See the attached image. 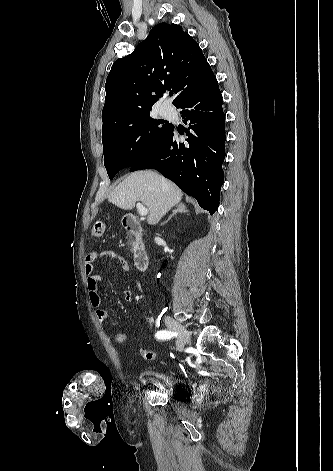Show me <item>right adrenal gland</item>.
<instances>
[{
  "mask_svg": "<svg viewBox=\"0 0 333 471\" xmlns=\"http://www.w3.org/2000/svg\"><path fill=\"white\" fill-rule=\"evenodd\" d=\"M188 210L185 206V204L183 203H179L176 208L173 210L172 214L169 216V218L165 221V223H167L174 215H176L177 213H187Z\"/></svg>",
  "mask_w": 333,
  "mask_h": 471,
  "instance_id": "obj_1",
  "label": "right adrenal gland"
}]
</instances>
